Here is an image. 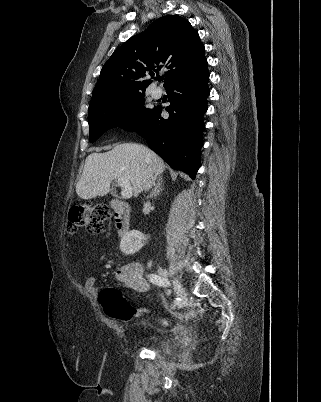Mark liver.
I'll list each match as a JSON object with an SVG mask.
<instances>
[{
    "instance_id": "obj_1",
    "label": "liver",
    "mask_w": 321,
    "mask_h": 402,
    "mask_svg": "<svg viewBox=\"0 0 321 402\" xmlns=\"http://www.w3.org/2000/svg\"><path fill=\"white\" fill-rule=\"evenodd\" d=\"M164 170V161L155 152L141 144L123 143L105 153H91L86 158L76 193L85 200L103 196L109 192L112 180L126 178L137 197L144 189L147 173L152 171L158 176Z\"/></svg>"
}]
</instances>
